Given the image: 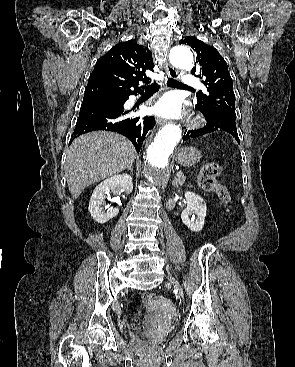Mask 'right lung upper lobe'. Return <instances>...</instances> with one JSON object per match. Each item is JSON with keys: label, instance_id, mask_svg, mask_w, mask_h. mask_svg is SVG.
I'll use <instances>...</instances> for the list:
<instances>
[{"label": "right lung upper lobe", "instance_id": "1", "mask_svg": "<svg viewBox=\"0 0 295 367\" xmlns=\"http://www.w3.org/2000/svg\"><path fill=\"white\" fill-rule=\"evenodd\" d=\"M152 54L143 46L129 40L115 45L96 63L86 89L100 88L119 96L142 93L149 83L146 70H153Z\"/></svg>", "mask_w": 295, "mask_h": 367}]
</instances>
